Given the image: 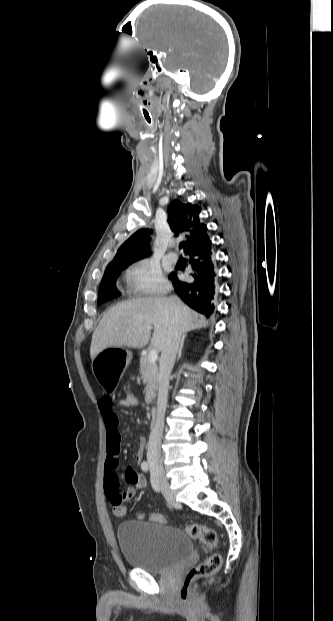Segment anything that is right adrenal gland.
<instances>
[{
    "label": "right adrenal gland",
    "mask_w": 333,
    "mask_h": 621,
    "mask_svg": "<svg viewBox=\"0 0 333 621\" xmlns=\"http://www.w3.org/2000/svg\"><path fill=\"white\" fill-rule=\"evenodd\" d=\"M186 338V335H183L182 339H181V343H180V348L178 350V355H177V360H180L181 356H182V349L184 346V340Z\"/></svg>",
    "instance_id": "right-adrenal-gland-1"
}]
</instances>
